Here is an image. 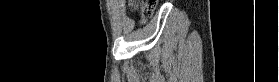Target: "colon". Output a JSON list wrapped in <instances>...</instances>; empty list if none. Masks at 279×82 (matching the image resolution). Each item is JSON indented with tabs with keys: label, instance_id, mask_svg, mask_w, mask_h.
Segmentation results:
<instances>
[{
	"label": "colon",
	"instance_id": "1",
	"mask_svg": "<svg viewBox=\"0 0 279 82\" xmlns=\"http://www.w3.org/2000/svg\"><path fill=\"white\" fill-rule=\"evenodd\" d=\"M132 10L138 11L142 18L151 17L156 5V0H127Z\"/></svg>",
	"mask_w": 279,
	"mask_h": 82
}]
</instances>
